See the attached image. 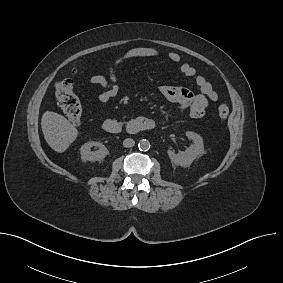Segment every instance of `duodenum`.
Wrapping results in <instances>:
<instances>
[{"label":"duodenum","instance_id":"obj_1","mask_svg":"<svg viewBox=\"0 0 283 283\" xmlns=\"http://www.w3.org/2000/svg\"><path fill=\"white\" fill-rule=\"evenodd\" d=\"M126 129L131 134L152 130L155 127L153 120L146 117H136L130 119L126 124ZM103 129L110 134H119L123 131L124 125L116 119H106L103 122Z\"/></svg>","mask_w":283,"mask_h":283}]
</instances>
